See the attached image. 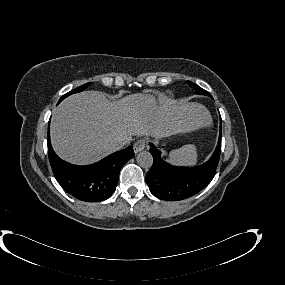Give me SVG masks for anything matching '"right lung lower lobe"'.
<instances>
[{"label":"right lung lower lobe","mask_w":285,"mask_h":285,"mask_svg":"<svg viewBox=\"0 0 285 285\" xmlns=\"http://www.w3.org/2000/svg\"><path fill=\"white\" fill-rule=\"evenodd\" d=\"M49 125V160L58 183L66 192L82 201L99 202L108 199L116 190L121 167L134 157L133 147L129 146L91 165H72L61 160L54 152Z\"/></svg>","instance_id":"obj_1"}]
</instances>
